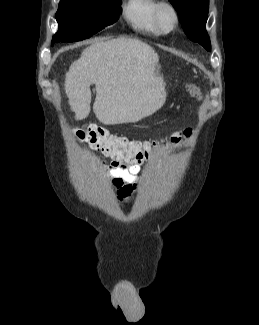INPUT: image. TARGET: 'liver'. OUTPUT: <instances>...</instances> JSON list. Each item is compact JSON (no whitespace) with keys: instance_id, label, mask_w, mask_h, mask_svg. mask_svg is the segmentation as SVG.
<instances>
[{"instance_id":"obj_1","label":"liver","mask_w":259,"mask_h":325,"mask_svg":"<svg viewBox=\"0 0 259 325\" xmlns=\"http://www.w3.org/2000/svg\"><path fill=\"white\" fill-rule=\"evenodd\" d=\"M159 56L137 39L96 41L85 48L65 75L64 89L76 120L93 111L105 125L135 123L159 110L165 103L163 80L156 75Z\"/></svg>"}]
</instances>
